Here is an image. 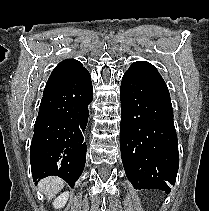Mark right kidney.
<instances>
[{"label": "right kidney", "mask_w": 209, "mask_h": 211, "mask_svg": "<svg viewBox=\"0 0 209 211\" xmlns=\"http://www.w3.org/2000/svg\"><path fill=\"white\" fill-rule=\"evenodd\" d=\"M68 197H69L68 192H63L62 194H60V196H58L53 202L54 208L55 209L63 208L68 200Z\"/></svg>", "instance_id": "1"}]
</instances>
